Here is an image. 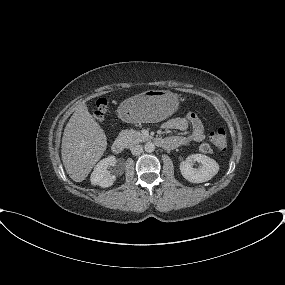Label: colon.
Here are the masks:
<instances>
[{
	"mask_svg": "<svg viewBox=\"0 0 285 285\" xmlns=\"http://www.w3.org/2000/svg\"><path fill=\"white\" fill-rule=\"evenodd\" d=\"M106 113H107V103L104 100H100L97 103L95 116L98 120H103L106 116ZM209 139L212 146L215 149L219 151H224L226 149L227 138H226V132L223 128H218L212 131L210 133ZM200 149L204 153H209L212 150L211 146L208 144H203Z\"/></svg>",
	"mask_w": 285,
	"mask_h": 285,
	"instance_id": "5ec220e1",
	"label": "colon"
}]
</instances>
